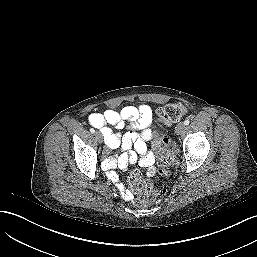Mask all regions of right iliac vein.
<instances>
[{"instance_id":"63e3f726","label":"right iliac vein","mask_w":257,"mask_h":257,"mask_svg":"<svg viewBox=\"0 0 257 257\" xmlns=\"http://www.w3.org/2000/svg\"><path fill=\"white\" fill-rule=\"evenodd\" d=\"M95 136L97 137L99 143L103 142V137H102V134L100 132H96Z\"/></svg>"}]
</instances>
